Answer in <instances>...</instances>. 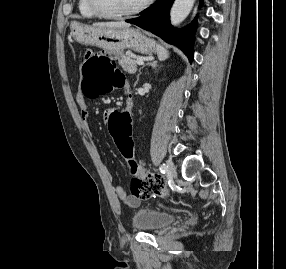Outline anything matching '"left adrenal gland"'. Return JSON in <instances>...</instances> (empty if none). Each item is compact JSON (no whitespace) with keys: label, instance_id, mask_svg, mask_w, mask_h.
I'll return each instance as SVG.
<instances>
[{"label":"left adrenal gland","instance_id":"left-adrenal-gland-1","mask_svg":"<svg viewBox=\"0 0 286 269\" xmlns=\"http://www.w3.org/2000/svg\"><path fill=\"white\" fill-rule=\"evenodd\" d=\"M146 65H147V66H151L152 68H156V67H157V61H150V62H148ZM143 67H144V66H143ZM143 67H142V68H143ZM142 68L139 69V73H138V75H137L136 84H137L138 81H139V76L141 75V69H142Z\"/></svg>","mask_w":286,"mask_h":269}]
</instances>
